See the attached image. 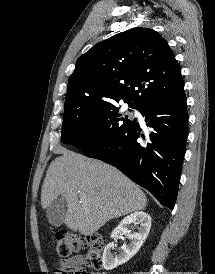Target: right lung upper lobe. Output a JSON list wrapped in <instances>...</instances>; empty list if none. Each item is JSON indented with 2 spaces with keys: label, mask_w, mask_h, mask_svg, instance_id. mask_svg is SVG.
<instances>
[{
  "label": "right lung upper lobe",
  "mask_w": 215,
  "mask_h": 274,
  "mask_svg": "<svg viewBox=\"0 0 215 274\" xmlns=\"http://www.w3.org/2000/svg\"><path fill=\"white\" fill-rule=\"evenodd\" d=\"M184 93L181 69L167 41L152 29L132 28L78 58L65 103L124 100L139 109Z\"/></svg>",
  "instance_id": "cb5924a9"
}]
</instances>
